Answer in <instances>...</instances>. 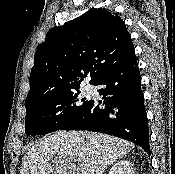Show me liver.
Segmentation results:
<instances>
[{
  "mask_svg": "<svg viewBox=\"0 0 175 174\" xmlns=\"http://www.w3.org/2000/svg\"><path fill=\"white\" fill-rule=\"evenodd\" d=\"M133 148L132 143L103 133L59 131L28 148L20 174H76V163L86 167V174H103Z\"/></svg>",
  "mask_w": 175,
  "mask_h": 174,
  "instance_id": "obj_1",
  "label": "liver"
}]
</instances>
